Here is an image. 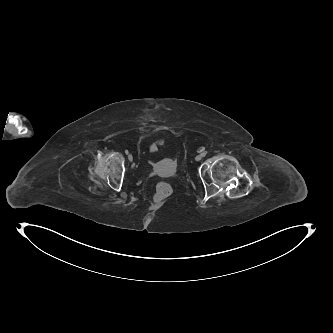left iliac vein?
I'll list each match as a JSON object with an SVG mask.
<instances>
[{
    "mask_svg": "<svg viewBox=\"0 0 333 333\" xmlns=\"http://www.w3.org/2000/svg\"><path fill=\"white\" fill-rule=\"evenodd\" d=\"M203 158V155H197L196 157H195V160L196 161H200L201 159Z\"/></svg>",
    "mask_w": 333,
    "mask_h": 333,
    "instance_id": "left-iliac-vein-1",
    "label": "left iliac vein"
}]
</instances>
